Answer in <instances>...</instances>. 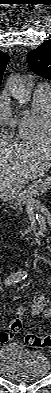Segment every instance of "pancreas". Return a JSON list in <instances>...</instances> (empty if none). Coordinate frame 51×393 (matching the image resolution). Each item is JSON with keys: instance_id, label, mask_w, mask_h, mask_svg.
I'll return each mask as SVG.
<instances>
[{"instance_id": "pancreas-1", "label": "pancreas", "mask_w": 51, "mask_h": 393, "mask_svg": "<svg viewBox=\"0 0 51 393\" xmlns=\"http://www.w3.org/2000/svg\"><path fill=\"white\" fill-rule=\"evenodd\" d=\"M51 188V180L46 178H40L32 182L23 192L17 194L14 197V208H18L19 212H22V207L29 200L39 194V192H45Z\"/></svg>"}]
</instances>
